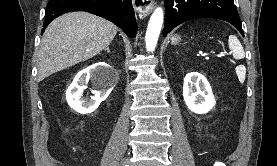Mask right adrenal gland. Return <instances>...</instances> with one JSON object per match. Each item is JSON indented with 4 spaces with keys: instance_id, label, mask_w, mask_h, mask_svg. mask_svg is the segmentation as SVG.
I'll return each mask as SVG.
<instances>
[{
    "instance_id": "1",
    "label": "right adrenal gland",
    "mask_w": 277,
    "mask_h": 166,
    "mask_svg": "<svg viewBox=\"0 0 277 166\" xmlns=\"http://www.w3.org/2000/svg\"><path fill=\"white\" fill-rule=\"evenodd\" d=\"M106 51H107L108 53H110V49H109V47H107V48H106Z\"/></svg>"
}]
</instances>
